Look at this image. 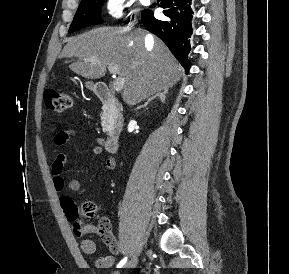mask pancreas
I'll return each mask as SVG.
<instances>
[{
  "label": "pancreas",
  "instance_id": "pancreas-1",
  "mask_svg": "<svg viewBox=\"0 0 289 274\" xmlns=\"http://www.w3.org/2000/svg\"><path fill=\"white\" fill-rule=\"evenodd\" d=\"M114 125V115L113 113L104 114L101 118V126L103 132H111Z\"/></svg>",
  "mask_w": 289,
  "mask_h": 274
}]
</instances>
